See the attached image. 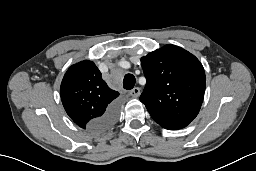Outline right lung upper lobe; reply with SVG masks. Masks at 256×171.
Returning <instances> with one entry per match:
<instances>
[{"label":"right lung upper lobe","instance_id":"obj_1","mask_svg":"<svg viewBox=\"0 0 256 171\" xmlns=\"http://www.w3.org/2000/svg\"><path fill=\"white\" fill-rule=\"evenodd\" d=\"M60 94L67 114L83 129H98L97 120L119 96L107 86L99 69L89 60L76 63L67 70Z\"/></svg>","mask_w":256,"mask_h":171}]
</instances>
